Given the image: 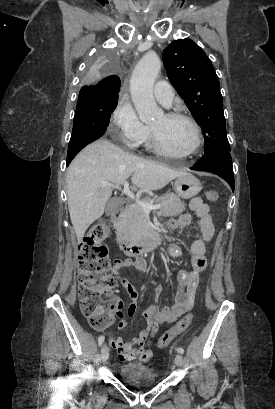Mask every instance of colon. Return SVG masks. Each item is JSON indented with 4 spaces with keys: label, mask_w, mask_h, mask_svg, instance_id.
Returning <instances> with one entry per match:
<instances>
[{
    "label": "colon",
    "mask_w": 275,
    "mask_h": 409,
    "mask_svg": "<svg viewBox=\"0 0 275 409\" xmlns=\"http://www.w3.org/2000/svg\"><path fill=\"white\" fill-rule=\"evenodd\" d=\"M218 196L216 190L206 192V198L210 202H216ZM107 237V223L99 220L78 246L80 309L93 330H106L107 325H112L113 315L122 303V300L113 293L118 286V280L112 274V262L107 257L108 247L104 243ZM192 320L193 314L186 313L163 333L157 342V347L167 348L179 334L188 329Z\"/></svg>",
    "instance_id": "colon-1"
}]
</instances>
